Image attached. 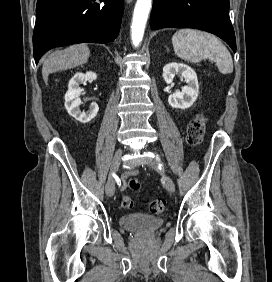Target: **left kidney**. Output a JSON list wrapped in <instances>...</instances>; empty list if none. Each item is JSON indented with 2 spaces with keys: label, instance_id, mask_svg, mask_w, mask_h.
I'll return each mask as SVG.
<instances>
[{
  "label": "left kidney",
  "instance_id": "obj_1",
  "mask_svg": "<svg viewBox=\"0 0 272 282\" xmlns=\"http://www.w3.org/2000/svg\"><path fill=\"white\" fill-rule=\"evenodd\" d=\"M180 74L187 83L181 91L177 90L168 97V103L173 108L187 109L198 97L199 84L195 71L186 64L171 62L163 67V79L171 84L175 75Z\"/></svg>",
  "mask_w": 272,
  "mask_h": 282
}]
</instances>
